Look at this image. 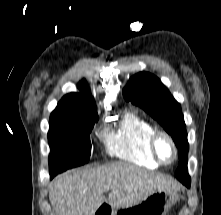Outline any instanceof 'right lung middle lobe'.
Returning a JSON list of instances; mask_svg holds the SVG:
<instances>
[{
    "instance_id": "1",
    "label": "right lung middle lobe",
    "mask_w": 221,
    "mask_h": 215,
    "mask_svg": "<svg viewBox=\"0 0 221 215\" xmlns=\"http://www.w3.org/2000/svg\"><path fill=\"white\" fill-rule=\"evenodd\" d=\"M98 120L95 105L57 107L50 116L48 140L49 171L57 175L83 165L91 154L90 132Z\"/></svg>"
}]
</instances>
